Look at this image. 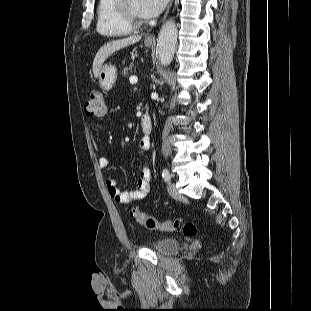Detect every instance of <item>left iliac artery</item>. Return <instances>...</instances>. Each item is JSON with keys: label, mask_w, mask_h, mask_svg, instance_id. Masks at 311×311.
I'll return each instance as SVG.
<instances>
[{"label": "left iliac artery", "mask_w": 311, "mask_h": 311, "mask_svg": "<svg viewBox=\"0 0 311 311\" xmlns=\"http://www.w3.org/2000/svg\"><path fill=\"white\" fill-rule=\"evenodd\" d=\"M162 177H163L165 182H169L171 180L170 173H169V171L167 169H163Z\"/></svg>", "instance_id": "44dca946"}]
</instances>
